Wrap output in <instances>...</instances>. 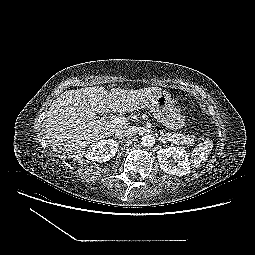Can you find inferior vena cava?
<instances>
[{"mask_svg":"<svg viewBox=\"0 0 255 255\" xmlns=\"http://www.w3.org/2000/svg\"><path fill=\"white\" fill-rule=\"evenodd\" d=\"M134 132H135V129L133 126L121 127L115 131V136L118 138L129 137V136H132Z\"/></svg>","mask_w":255,"mask_h":255,"instance_id":"obj_1","label":"inferior vena cava"}]
</instances>
